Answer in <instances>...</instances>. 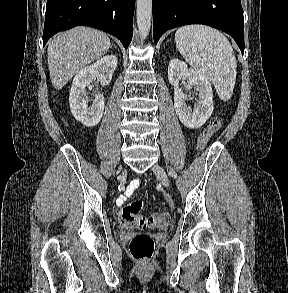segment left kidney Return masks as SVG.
Returning <instances> with one entry per match:
<instances>
[{
  "label": "left kidney",
  "instance_id": "1",
  "mask_svg": "<svg viewBox=\"0 0 288 293\" xmlns=\"http://www.w3.org/2000/svg\"><path fill=\"white\" fill-rule=\"evenodd\" d=\"M185 78L198 92V103L193 110L186 104L188 96L179 88V81ZM168 79L174 87V108L182 124L192 129L201 127L213 112V92L208 79L198 71L188 68L179 59L170 61Z\"/></svg>",
  "mask_w": 288,
  "mask_h": 293
}]
</instances>
